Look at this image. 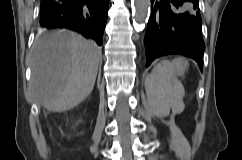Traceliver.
Returning <instances> with one entry per match:
<instances>
[{
  "instance_id": "1",
  "label": "liver",
  "mask_w": 242,
  "mask_h": 160,
  "mask_svg": "<svg viewBox=\"0 0 242 160\" xmlns=\"http://www.w3.org/2000/svg\"><path fill=\"white\" fill-rule=\"evenodd\" d=\"M101 48L71 31L38 36L31 52V93L51 112L70 110L92 92Z\"/></svg>"
}]
</instances>
